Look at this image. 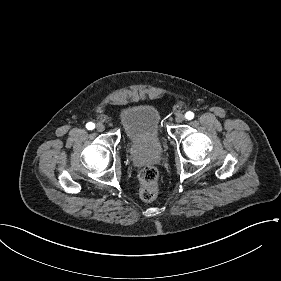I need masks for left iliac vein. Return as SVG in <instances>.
Masks as SVG:
<instances>
[{"label":"left iliac vein","instance_id":"4c4485c4","mask_svg":"<svg viewBox=\"0 0 281 281\" xmlns=\"http://www.w3.org/2000/svg\"><path fill=\"white\" fill-rule=\"evenodd\" d=\"M184 119H185V116H184L182 113L177 114L176 117H175V121H176L177 123L183 122Z\"/></svg>","mask_w":281,"mask_h":281}]
</instances>
